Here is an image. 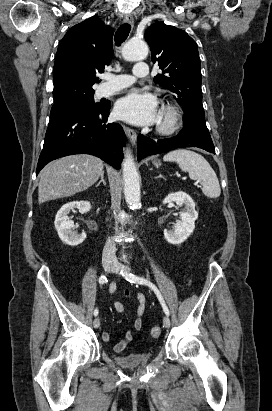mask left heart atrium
<instances>
[{
	"instance_id": "1",
	"label": "left heart atrium",
	"mask_w": 272,
	"mask_h": 411,
	"mask_svg": "<svg viewBox=\"0 0 272 411\" xmlns=\"http://www.w3.org/2000/svg\"><path fill=\"white\" fill-rule=\"evenodd\" d=\"M115 114L136 125H147L158 119L157 100L149 93L133 91L118 100Z\"/></svg>"
}]
</instances>
